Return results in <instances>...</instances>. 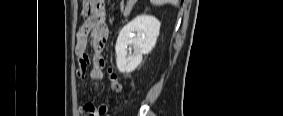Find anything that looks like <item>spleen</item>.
Returning <instances> with one entry per match:
<instances>
[{"label": "spleen", "instance_id": "obj_1", "mask_svg": "<svg viewBox=\"0 0 283 116\" xmlns=\"http://www.w3.org/2000/svg\"><path fill=\"white\" fill-rule=\"evenodd\" d=\"M152 2H153V4H155V5H162V4L165 3V1H162V0H153Z\"/></svg>", "mask_w": 283, "mask_h": 116}]
</instances>
